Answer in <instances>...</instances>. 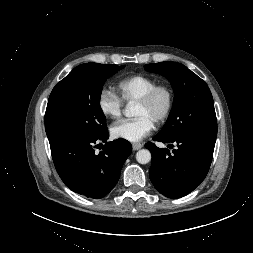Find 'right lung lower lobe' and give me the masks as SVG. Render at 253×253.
Masks as SVG:
<instances>
[{
  "label": "right lung lower lobe",
  "instance_id": "right-lung-lower-lobe-1",
  "mask_svg": "<svg viewBox=\"0 0 253 253\" xmlns=\"http://www.w3.org/2000/svg\"><path fill=\"white\" fill-rule=\"evenodd\" d=\"M106 128L102 133L90 137H73L50 144L55 168L65 183L75 193L88 198L100 199L116 185L121 169L132 146L125 139L106 142ZM106 142L97 153L95 145Z\"/></svg>",
  "mask_w": 253,
  "mask_h": 253
}]
</instances>
